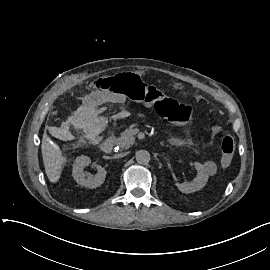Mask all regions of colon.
Masks as SVG:
<instances>
[{
  "label": "colon",
  "instance_id": "1",
  "mask_svg": "<svg viewBox=\"0 0 270 270\" xmlns=\"http://www.w3.org/2000/svg\"><path fill=\"white\" fill-rule=\"evenodd\" d=\"M99 89H108L112 93H120L133 101L153 107L161 117L177 125H185L190 119L192 110L186 103L164 95L157 87L146 84L134 72L118 74L114 78L99 76L95 80ZM220 154L218 160L225 168L234 164L231 154L235 151L233 136L225 130L216 133Z\"/></svg>",
  "mask_w": 270,
  "mask_h": 270
}]
</instances>
